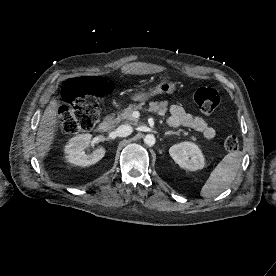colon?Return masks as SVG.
Instances as JSON below:
<instances>
[{"label": "colon", "mask_w": 276, "mask_h": 276, "mask_svg": "<svg viewBox=\"0 0 276 276\" xmlns=\"http://www.w3.org/2000/svg\"><path fill=\"white\" fill-rule=\"evenodd\" d=\"M112 86L98 77H82L68 80L63 87V99L66 105L59 111L60 129L71 135L79 131H88L95 125L99 115V101ZM193 100L204 114H212L218 107L220 97L211 87H199L193 91ZM239 142L236 136H228L224 149L234 152Z\"/></svg>", "instance_id": "obj_1"}]
</instances>
